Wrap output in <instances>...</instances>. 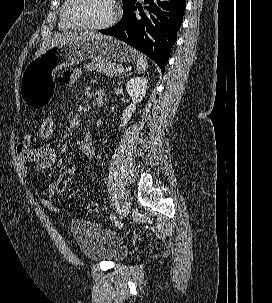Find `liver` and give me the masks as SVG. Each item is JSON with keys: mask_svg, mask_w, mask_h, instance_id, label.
I'll list each match as a JSON object with an SVG mask.
<instances>
[{"mask_svg": "<svg viewBox=\"0 0 272 303\" xmlns=\"http://www.w3.org/2000/svg\"><path fill=\"white\" fill-rule=\"evenodd\" d=\"M104 35L96 33V32H61L56 33L53 36H49L44 40V42L37 49L34 59L43 54L46 50L51 47L57 46L60 43L74 40H84V39H92V38H103Z\"/></svg>", "mask_w": 272, "mask_h": 303, "instance_id": "liver-1", "label": "liver"}]
</instances>
